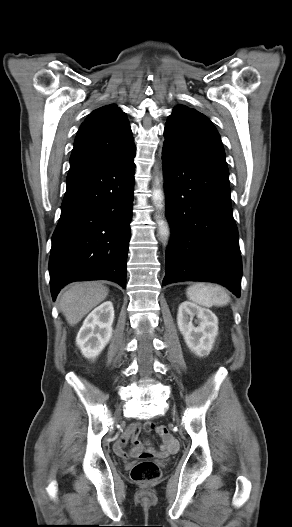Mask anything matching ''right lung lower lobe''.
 <instances>
[{
	"label": "right lung lower lobe",
	"mask_w": 292,
	"mask_h": 527,
	"mask_svg": "<svg viewBox=\"0 0 292 527\" xmlns=\"http://www.w3.org/2000/svg\"><path fill=\"white\" fill-rule=\"evenodd\" d=\"M135 149L70 162L49 259L53 300L69 282L110 280L125 288Z\"/></svg>",
	"instance_id": "1"
}]
</instances>
